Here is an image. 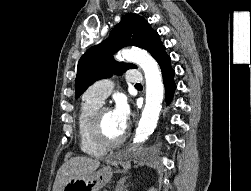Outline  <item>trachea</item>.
Here are the masks:
<instances>
[{"instance_id": "trachea-1", "label": "trachea", "mask_w": 251, "mask_h": 191, "mask_svg": "<svg viewBox=\"0 0 251 191\" xmlns=\"http://www.w3.org/2000/svg\"><path fill=\"white\" fill-rule=\"evenodd\" d=\"M139 86L142 87L141 83H136L135 87H139Z\"/></svg>"}]
</instances>
